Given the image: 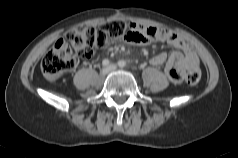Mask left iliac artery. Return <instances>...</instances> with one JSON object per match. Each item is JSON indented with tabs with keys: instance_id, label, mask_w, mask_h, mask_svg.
Returning a JSON list of instances; mask_svg holds the SVG:
<instances>
[{
	"instance_id": "44dca946",
	"label": "left iliac artery",
	"mask_w": 238,
	"mask_h": 158,
	"mask_svg": "<svg viewBox=\"0 0 238 158\" xmlns=\"http://www.w3.org/2000/svg\"><path fill=\"white\" fill-rule=\"evenodd\" d=\"M126 65H127L126 62L123 61V60H120V61L118 62V66L121 67V68L125 67Z\"/></svg>"
}]
</instances>
